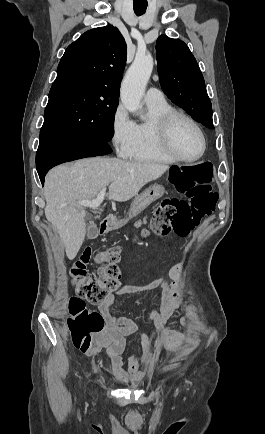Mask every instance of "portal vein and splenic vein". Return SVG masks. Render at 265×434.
Masks as SVG:
<instances>
[{"instance_id":"portal-vein-and-splenic-vein-1","label":"portal vein and splenic vein","mask_w":265,"mask_h":434,"mask_svg":"<svg viewBox=\"0 0 265 434\" xmlns=\"http://www.w3.org/2000/svg\"><path fill=\"white\" fill-rule=\"evenodd\" d=\"M106 190H107L106 186L105 188H102L96 200H78V204H80V206H86V208H93V210H97L98 206H100V204H102L104 200ZM63 206H67V204H63Z\"/></svg>"}]
</instances>
